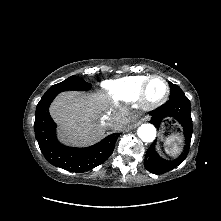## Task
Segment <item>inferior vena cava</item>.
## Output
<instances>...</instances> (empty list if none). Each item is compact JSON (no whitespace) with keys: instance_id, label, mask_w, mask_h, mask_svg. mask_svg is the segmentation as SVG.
Segmentation results:
<instances>
[{"instance_id":"obj_1","label":"inferior vena cava","mask_w":221,"mask_h":221,"mask_svg":"<svg viewBox=\"0 0 221 221\" xmlns=\"http://www.w3.org/2000/svg\"><path fill=\"white\" fill-rule=\"evenodd\" d=\"M100 122H101V125L106 126V127L112 126V123H113L112 118L108 115H103L101 117Z\"/></svg>"}]
</instances>
